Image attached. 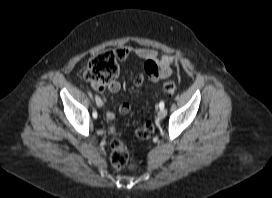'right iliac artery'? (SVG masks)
<instances>
[{
    "label": "right iliac artery",
    "instance_id": "82829eb1",
    "mask_svg": "<svg viewBox=\"0 0 272 198\" xmlns=\"http://www.w3.org/2000/svg\"><path fill=\"white\" fill-rule=\"evenodd\" d=\"M88 94L92 98V94L90 92H88ZM92 115H93L94 118H97V112H96V110L93 111Z\"/></svg>",
    "mask_w": 272,
    "mask_h": 198
}]
</instances>
